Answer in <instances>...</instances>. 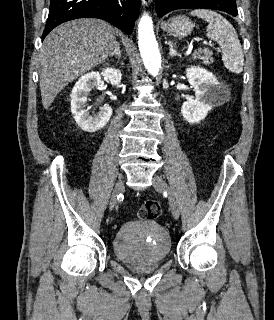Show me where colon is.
Instances as JSON below:
<instances>
[{
  "label": "colon",
  "instance_id": "colon-1",
  "mask_svg": "<svg viewBox=\"0 0 274 320\" xmlns=\"http://www.w3.org/2000/svg\"><path fill=\"white\" fill-rule=\"evenodd\" d=\"M161 213V208L157 200L149 198L143 203V208L140 211V215L145 220H153L157 218Z\"/></svg>",
  "mask_w": 274,
  "mask_h": 320
}]
</instances>
